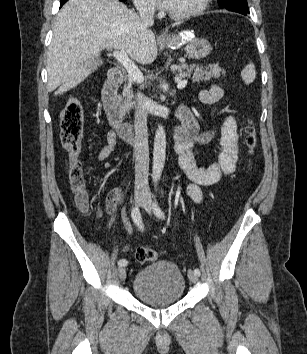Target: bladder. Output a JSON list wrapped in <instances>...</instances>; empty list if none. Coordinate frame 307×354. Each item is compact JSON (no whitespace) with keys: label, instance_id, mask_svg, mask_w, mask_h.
Returning <instances> with one entry per match:
<instances>
[{"label":"bladder","instance_id":"31cf9c89","mask_svg":"<svg viewBox=\"0 0 307 354\" xmlns=\"http://www.w3.org/2000/svg\"><path fill=\"white\" fill-rule=\"evenodd\" d=\"M132 289L136 297L148 305L167 306L183 297L185 278L176 264L160 260L136 273Z\"/></svg>","mask_w":307,"mask_h":354}]
</instances>
